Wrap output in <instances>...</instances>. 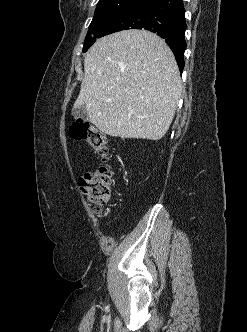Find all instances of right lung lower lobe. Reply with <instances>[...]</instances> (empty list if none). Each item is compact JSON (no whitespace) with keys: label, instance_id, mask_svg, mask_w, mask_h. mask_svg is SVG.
Wrapping results in <instances>:
<instances>
[{"label":"right lung lower lobe","instance_id":"98d812e1","mask_svg":"<svg viewBox=\"0 0 247 332\" xmlns=\"http://www.w3.org/2000/svg\"><path fill=\"white\" fill-rule=\"evenodd\" d=\"M186 28L183 0H148L110 24L101 37L128 29H145L156 33L171 48L182 73Z\"/></svg>","mask_w":247,"mask_h":332}]
</instances>
